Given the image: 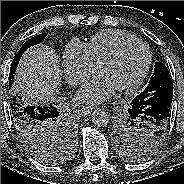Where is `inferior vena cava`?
I'll return each instance as SVG.
<instances>
[{"mask_svg":"<svg viewBox=\"0 0 184 184\" xmlns=\"http://www.w3.org/2000/svg\"><path fill=\"white\" fill-rule=\"evenodd\" d=\"M81 79L80 78H78L76 81L78 82V81H80Z\"/></svg>","mask_w":184,"mask_h":184,"instance_id":"obj_1","label":"inferior vena cava"}]
</instances>
